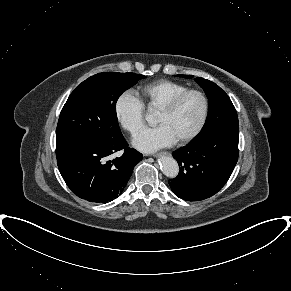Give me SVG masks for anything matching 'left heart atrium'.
Returning a JSON list of instances; mask_svg holds the SVG:
<instances>
[{"label":"left heart atrium","mask_w":291,"mask_h":291,"mask_svg":"<svg viewBox=\"0 0 291 291\" xmlns=\"http://www.w3.org/2000/svg\"><path fill=\"white\" fill-rule=\"evenodd\" d=\"M176 142L170 131L163 125L143 130L135 139L134 145L145 152H153Z\"/></svg>","instance_id":"39dd6f15"}]
</instances>
